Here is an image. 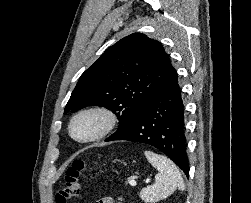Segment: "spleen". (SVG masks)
<instances>
[{
  "instance_id": "1",
  "label": "spleen",
  "mask_w": 251,
  "mask_h": 203,
  "mask_svg": "<svg viewBox=\"0 0 251 203\" xmlns=\"http://www.w3.org/2000/svg\"><path fill=\"white\" fill-rule=\"evenodd\" d=\"M147 160L158 170L155 183L140 191L145 202L155 203L170 196L177 188L184 190V182L177 166L166 156L151 151L144 152Z\"/></svg>"
}]
</instances>
